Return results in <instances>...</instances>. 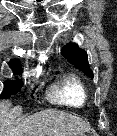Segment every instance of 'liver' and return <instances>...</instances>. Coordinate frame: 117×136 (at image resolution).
<instances>
[{
  "instance_id": "obj_1",
  "label": "liver",
  "mask_w": 117,
  "mask_h": 136,
  "mask_svg": "<svg viewBox=\"0 0 117 136\" xmlns=\"http://www.w3.org/2000/svg\"><path fill=\"white\" fill-rule=\"evenodd\" d=\"M22 108L0 102V136H77L89 125L80 117L48 109L21 119Z\"/></svg>"
}]
</instances>
